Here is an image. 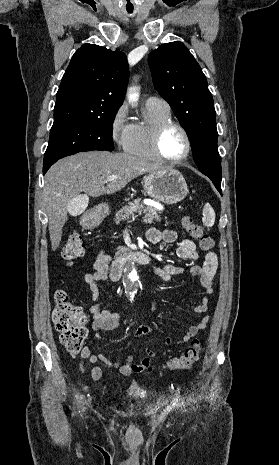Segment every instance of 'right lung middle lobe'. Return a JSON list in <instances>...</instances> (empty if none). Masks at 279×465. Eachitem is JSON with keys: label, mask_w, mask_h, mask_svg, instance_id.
Masks as SVG:
<instances>
[{"label": "right lung middle lobe", "mask_w": 279, "mask_h": 465, "mask_svg": "<svg viewBox=\"0 0 279 465\" xmlns=\"http://www.w3.org/2000/svg\"><path fill=\"white\" fill-rule=\"evenodd\" d=\"M118 110L100 117L72 120L53 125L50 131L43 167L51 166L60 158L91 150L112 151V125Z\"/></svg>", "instance_id": "right-lung-middle-lobe-1"}]
</instances>
